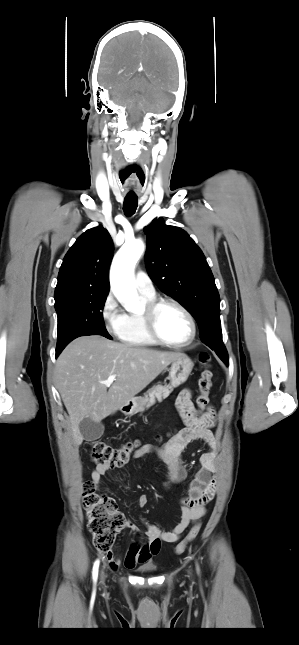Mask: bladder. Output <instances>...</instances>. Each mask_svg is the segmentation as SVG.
<instances>
[{"label":"bladder","mask_w":299,"mask_h":645,"mask_svg":"<svg viewBox=\"0 0 299 645\" xmlns=\"http://www.w3.org/2000/svg\"><path fill=\"white\" fill-rule=\"evenodd\" d=\"M156 569V566L153 563H147L139 567V570L142 572H152Z\"/></svg>","instance_id":"obj_1"}]
</instances>
